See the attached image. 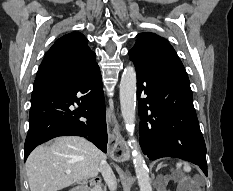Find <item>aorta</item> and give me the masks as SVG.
Instances as JSON below:
<instances>
[{
    "instance_id": "1",
    "label": "aorta",
    "mask_w": 233,
    "mask_h": 191,
    "mask_svg": "<svg viewBox=\"0 0 233 191\" xmlns=\"http://www.w3.org/2000/svg\"><path fill=\"white\" fill-rule=\"evenodd\" d=\"M136 71L133 66H127L121 76L120 105L121 113L129 135L128 145L132 149L133 164L138 179L140 191H152L149 169L138 149L134 137L135 112H136Z\"/></svg>"
}]
</instances>
